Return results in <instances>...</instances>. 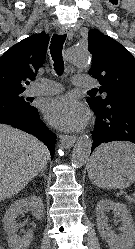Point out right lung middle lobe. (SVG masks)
Instances as JSON below:
<instances>
[{
    "mask_svg": "<svg viewBox=\"0 0 135 249\" xmlns=\"http://www.w3.org/2000/svg\"><path fill=\"white\" fill-rule=\"evenodd\" d=\"M22 92L23 91H4V92H0V98L16 101V102H19V103H21L23 105H28L29 102H27L26 99H24V97L21 96Z\"/></svg>",
    "mask_w": 135,
    "mask_h": 249,
    "instance_id": "dd1d6c3e",
    "label": "right lung middle lobe"
}]
</instances>
